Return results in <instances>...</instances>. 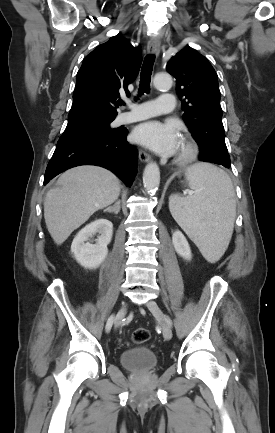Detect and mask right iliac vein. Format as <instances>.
I'll use <instances>...</instances> for the list:
<instances>
[{"label": "right iliac vein", "mask_w": 275, "mask_h": 433, "mask_svg": "<svg viewBox=\"0 0 275 433\" xmlns=\"http://www.w3.org/2000/svg\"><path fill=\"white\" fill-rule=\"evenodd\" d=\"M126 311H127L126 304H123L122 307L120 308V310L118 311L117 315H116V318H115V328H117L121 324L123 318L126 315Z\"/></svg>", "instance_id": "63e3f726"}]
</instances>
